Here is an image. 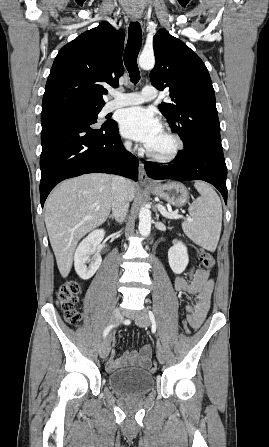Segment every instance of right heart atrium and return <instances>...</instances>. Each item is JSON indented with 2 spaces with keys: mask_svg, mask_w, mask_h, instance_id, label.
Masks as SVG:
<instances>
[{
  "mask_svg": "<svg viewBox=\"0 0 269 447\" xmlns=\"http://www.w3.org/2000/svg\"><path fill=\"white\" fill-rule=\"evenodd\" d=\"M124 146L127 147V148H129V147L131 146V144H130L129 141H124Z\"/></svg>",
  "mask_w": 269,
  "mask_h": 447,
  "instance_id": "1",
  "label": "right heart atrium"
}]
</instances>
